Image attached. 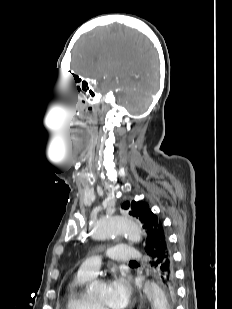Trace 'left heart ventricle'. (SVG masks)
I'll return each mask as SVG.
<instances>
[{
	"label": "left heart ventricle",
	"instance_id": "b2bd125f",
	"mask_svg": "<svg viewBox=\"0 0 232 309\" xmlns=\"http://www.w3.org/2000/svg\"><path fill=\"white\" fill-rule=\"evenodd\" d=\"M95 299L109 309H115L111 302V289L110 285H104L99 292L95 295Z\"/></svg>",
	"mask_w": 232,
	"mask_h": 309
}]
</instances>
